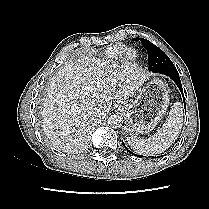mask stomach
Here are the masks:
<instances>
[{"label": "stomach", "mask_w": 209, "mask_h": 209, "mask_svg": "<svg viewBox=\"0 0 209 209\" xmlns=\"http://www.w3.org/2000/svg\"><path fill=\"white\" fill-rule=\"evenodd\" d=\"M125 115L124 130L130 135L151 132L166 113L169 105L168 88L156 78L138 90L135 100L119 101Z\"/></svg>", "instance_id": "0dacf381"}]
</instances>
